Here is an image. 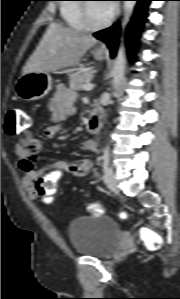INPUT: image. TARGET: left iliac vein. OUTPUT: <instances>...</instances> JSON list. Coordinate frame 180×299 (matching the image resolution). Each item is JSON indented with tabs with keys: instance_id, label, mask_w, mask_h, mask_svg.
Returning <instances> with one entry per match:
<instances>
[{
	"instance_id": "1",
	"label": "left iliac vein",
	"mask_w": 180,
	"mask_h": 299,
	"mask_svg": "<svg viewBox=\"0 0 180 299\" xmlns=\"http://www.w3.org/2000/svg\"><path fill=\"white\" fill-rule=\"evenodd\" d=\"M104 182L108 189H110L113 192H117V181L114 175V171L112 168L108 167L105 170L104 176H103Z\"/></svg>"
}]
</instances>
